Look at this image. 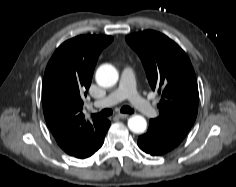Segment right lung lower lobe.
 I'll use <instances>...</instances> for the list:
<instances>
[{
	"mask_svg": "<svg viewBox=\"0 0 236 187\" xmlns=\"http://www.w3.org/2000/svg\"><path fill=\"white\" fill-rule=\"evenodd\" d=\"M109 126H110V122L106 119V132H107ZM106 132H105V133H106ZM103 141H104V138H103ZM102 144H103V142L100 144V146L97 148V150L102 146ZM97 150H96V151H97Z\"/></svg>",
	"mask_w": 236,
	"mask_h": 187,
	"instance_id": "98d812e1",
	"label": "right lung lower lobe"
}]
</instances>
